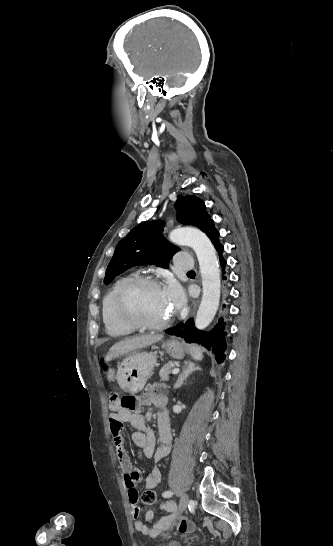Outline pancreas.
<instances>
[{
    "label": "pancreas",
    "mask_w": 333,
    "mask_h": 546,
    "mask_svg": "<svg viewBox=\"0 0 333 546\" xmlns=\"http://www.w3.org/2000/svg\"><path fill=\"white\" fill-rule=\"evenodd\" d=\"M175 368V363L174 362H168L167 364H165L162 369L160 370V373H159V376L161 378L162 381H168L169 379V376L172 372V370Z\"/></svg>",
    "instance_id": "cf45deb5"
}]
</instances>
